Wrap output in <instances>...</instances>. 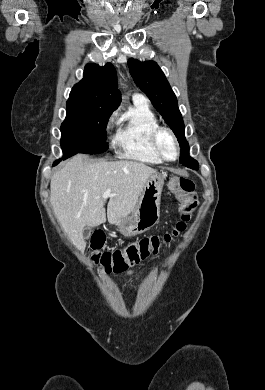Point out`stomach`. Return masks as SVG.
I'll list each match as a JSON object with an SVG mask.
<instances>
[{
	"label": "stomach",
	"mask_w": 265,
	"mask_h": 390,
	"mask_svg": "<svg viewBox=\"0 0 265 390\" xmlns=\"http://www.w3.org/2000/svg\"><path fill=\"white\" fill-rule=\"evenodd\" d=\"M164 179L165 175L160 173H155L148 178L132 213L120 218L117 222V228L121 234L134 236L149 230L158 223Z\"/></svg>",
	"instance_id": "stomach-1"
}]
</instances>
